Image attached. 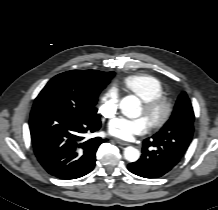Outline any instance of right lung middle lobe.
Listing matches in <instances>:
<instances>
[{
    "label": "right lung middle lobe",
    "instance_id": "obj_1",
    "mask_svg": "<svg viewBox=\"0 0 218 210\" xmlns=\"http://www.w3.org/2000/svg\"><path fill=\"white\" fill-rule=\"evenodd\" d=\"M108 82L87 84L64 72L53 77L39 93L32 110L56 108L87 118H99L95 105Z\"/></svg>",
    "mask_w": 218,
    "mask_h": 210
}]
</instances>
